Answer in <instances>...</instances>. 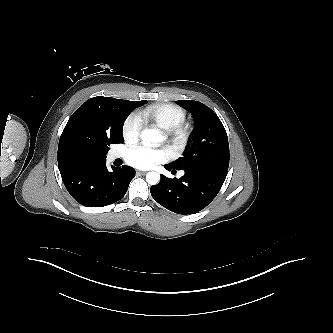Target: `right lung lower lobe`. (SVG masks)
<instances>
[{"mask_svg": "<svg viewBox=\"0 0 333 333\" xmlns=\"http://www.w3.org/2000/svg\"><path fill=\"white\" fill-rule=\"evenodd\" d=\"M108 171L106 159L80 157L60 170L70 195L87 207H103L119 201L135 177L132 167L123 165Z\"/></svg>", "mask_w": 333, "mask_h": 333, "instance_id": "obj_1", "label": "right lung lower lobe"}]
</instances>
